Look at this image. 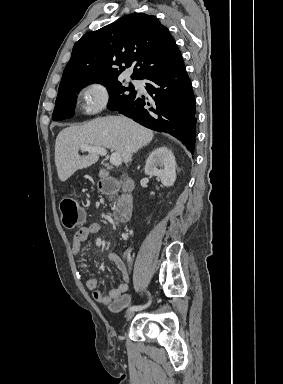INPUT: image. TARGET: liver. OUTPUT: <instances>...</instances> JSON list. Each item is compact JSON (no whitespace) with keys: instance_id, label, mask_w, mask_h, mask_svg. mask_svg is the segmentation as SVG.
<instances>
[{"instance_id":"1","label":"liver","mask_w":283,"mask_h":384,"mask_svg":"<svg viewBox=\"0 0 283 384\" xmlns=\"http://www.w3.org/2000/svg\"><path fill=\"white\" fill-rule=\"evenodd\" d=\"M152 130L143 128L125 116L96 118L84 126H70L58 134L55 142V164L61 182H66L76 170L88 168L99 160V154L89 152L79 156L82 144L94 148H110L120 154L121 160L128 164L135 152L153 140Z\"/></svg>"}]
</instances>
